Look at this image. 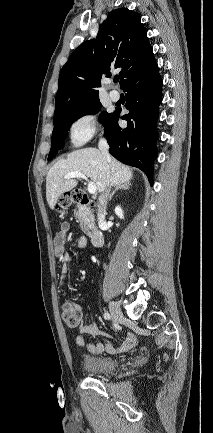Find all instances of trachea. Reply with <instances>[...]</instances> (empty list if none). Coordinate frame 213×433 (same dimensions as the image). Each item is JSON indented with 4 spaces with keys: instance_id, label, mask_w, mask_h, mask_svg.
I'll use <instances>...</instances> for the list:
<instances>
[{
    "instance_id": "1",
    "label": "trachea",
    "mask_w": 213,
    "mask_h": 433,
    "mask_svg": "<svg viewBox=\"0 0 213 433\" xmlns=\"http://www.w3.org/2000/svg\"><path fill=\"white\" fill-rule=\"evenodd\" d=\"M119 81V77H116L115 79H114V82H118Z\"/></svg>"
}]
</instances>
